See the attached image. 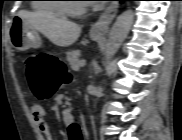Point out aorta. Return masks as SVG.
I'll return each mask as SVG.
<instances>
[{
	"label": "aorta",
	"instance_id": "obj_1",
	"mask_svg": "<svg viewBox=\"0 0 182 140\" xmlns=\"http://www.w3.org/2000/svg\"><path fill=\"white\" fill-rule=\"evenodd\" d=\"M133 21L134 13L131 9H127L117 17L109 32L105 45V56L107 60L113 57L118 51L130 31Z\"/></svg>",
	"mask_w": 182,
	"mask_h": 140
}]
</instances>
